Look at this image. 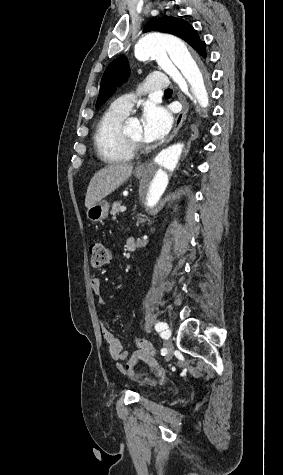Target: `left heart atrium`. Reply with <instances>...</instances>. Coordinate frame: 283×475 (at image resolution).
Listing matches in <instances>:
<instances>
[{"label": "left heart atrium", "mask_w": 283, "mask_h": 475, "mask_svg": "<svg viewBox=\"0 0 283 475\" xmlns=\"http://www.w3.org/2000/svg\"><path fill=\"white\" fill-rule=\"evenodd\" d=\"M173 118L169 110L159 103L148 104L142 113L141 125L146 141L164 138L170 131Z\"/></svg>", "instance_id": "39dd6f15"}]
</instances>
